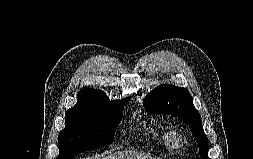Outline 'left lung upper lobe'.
<instances>
[{
  "mask_svg": "<svg viewBox=\"0 0 253 159\" xmlns=\"http://www.w3.org/2000/svg\"><path fill=\"white\" fill-rule=\"evenodd\" d=\"M144 107L152 114H169L189 124L198 141L201 159H210L209 142L203 131L201 116L187 89L169 84L160 85L145 97Z\"/></svg>",
  "mask_w": 253,
  "mask_h": 159,
  "instance_id": "left-lung-upper-lobe-1",
  "label": "left lung upper lobe"
}]
</instances>
